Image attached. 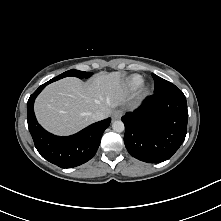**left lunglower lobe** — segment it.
<instances>
[{
    "mask_svg": "<svg viewBox=\"0 0 221 221\" xmlns=\"http://www.w3.org/2000/svg\"><path fill=\"white\" fill-rule=\"evenodd\" d=\"M128 152L147 163L169 159L187 133L188 110L181 90L147 97L134 112L122 117Z\"/></svg>",
    "mask_w": 221,
    "mask_h": 221,
    "instance_id": "0a47b994",
    "label": "left lung lower lobe"
}]
</instances>
